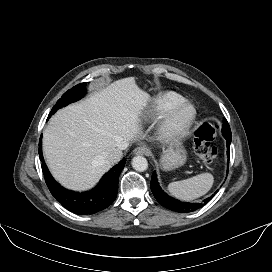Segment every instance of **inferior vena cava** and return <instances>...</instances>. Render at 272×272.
<instances>
[{
  "mask_svg": "<svg viewBox=\"0 0 272 272\" xmlns=\"http://www.w3.org/2000/svg\"><path fill=\"white\" fill-rule=\"evenodd\" d=\"M127 146H128V144L125 143L118 148L109 149L108 151H106L103 154V157H102L103 161L105 163H109V164H115V163L119 162L120 159L122 158V150L126 149Z\"/></svg>",
  "mask_w": 272,
  "mask_h": 272,
  "instance_id": "602c4592",
  "label": "inferior vena cava"
}]
</instances>
